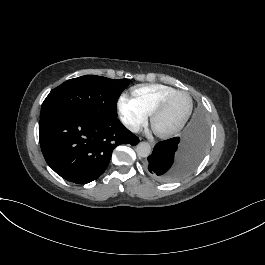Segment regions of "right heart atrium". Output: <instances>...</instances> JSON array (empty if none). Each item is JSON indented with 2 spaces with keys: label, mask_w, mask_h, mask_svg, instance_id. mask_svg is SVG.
Segmentation results:
<instances>
[{
  "label": "right heart atrium",
  "mask_w": 265,
  "mask_h": 265,
  "mask_svg": "<svg viewBox=\"0 0 265 265\" xmlns=\"http://www.w3.org/2000/svg\"><path fill=\"white\" fill-rule=\"evenodd\" d=\"M119 106L127 119V126L132 131H139L147 124L149 114L138 101L124 95L120 99Z\"/></svg>",
  "instance_id": "obj_1"
}]
</instances>
